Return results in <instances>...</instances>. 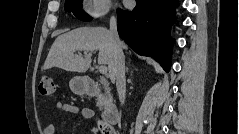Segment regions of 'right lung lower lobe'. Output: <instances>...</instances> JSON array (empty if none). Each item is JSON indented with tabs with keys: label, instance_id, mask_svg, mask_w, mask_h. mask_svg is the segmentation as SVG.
Returning a JSON list of instances; mask_svg holds the SVG:
<instances>
[{
	"label": "right lung lower lobe",
	"instance_id": "1",
	"mask_svg": "<svg viewBox=\"0 0 239 134\" xmlns=\"http://www.w3.org/2000/svg\"><path fill=\"white\" fill-rule=\"evenodd\" d=\"M133 11L118 9L119 36L138 54L157 60L170 69L174 40L170 27L175 22L177 0H136Z\"/></svg>",
	"mask_w": 239,
	"mask_h": 134
}]
</instances>
